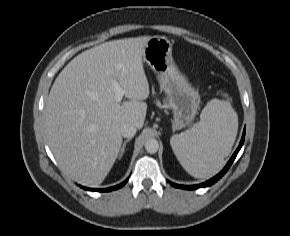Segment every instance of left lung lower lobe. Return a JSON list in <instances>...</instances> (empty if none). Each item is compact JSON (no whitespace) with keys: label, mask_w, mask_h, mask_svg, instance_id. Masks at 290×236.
Masks as SVG:
<instances>
[{"label":"left lung lower lobe","mask_w":290,"mask_h":236,"mask_svg":"<svg viewBox=\"0 0 290 236\" xmlns=\"http://www.w3.org/2000/svg\"><path fill=\"white\" fill-rule=\"evenodd\" d=\"M244 139H245V129L240 141V144L238 146V148L236 149V151L234 152V154L232 155V157L230 158V160L228 161V163L226 164V166L223 168V170L217 174L215 177L211 178L210 180L202 183V184H198V185H192V186H184V185H178V184H174L172 182H170V184L174 187L177 188H182V189H188V190H192V189H197V188H201V187H207L210 186L212 184H214L215 182H217L230 168L231 164L234 162L239 150L241 149L243 143H244Z\"/></svg>","instance_id":"0a47b994"}]
</instances>
